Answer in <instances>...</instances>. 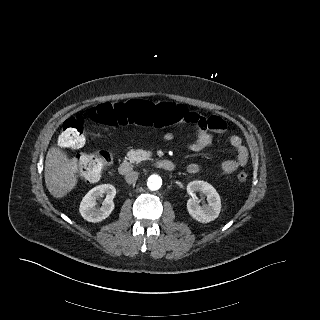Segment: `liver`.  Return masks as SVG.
I'll return each mask as SVG.
<instances>
[{
    "label": "liver",
    "mask_w": 320,
    "mask_h": 320,
    "mask_svg": "<svg viewBox=\"0 0 320 320\" xmlns=\"http://www.w3.org/2000/svg\"><path fill=\"white\" fill-rule=\"evenodd\" d=\"M44 174L46 187L55 198L66 196L78 182L69 158L57 147L47 152Z\"/></svg>",
    "instance_id": "6515ba94"
}]
</instances>
